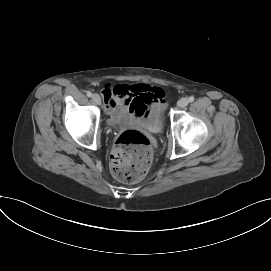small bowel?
I'll return each instance as SVG.
<instances>
[{
    "instance_id": "c3829d8e",
    "label": "small bowel",
    "mask_w": 271,
    "mask_h": 271,
    "mask_svg": "<svg viewBox=\"0 0 271 271\" xmlns=\"http://www.w3.org/2000/svg\"><path fill=\"white\" fill-rule=\"evenodd\" d=\"M101 95L112 124L119 122L122 116L145 119L157 114L163 108L165 97L161 88L144 83L106 85Z\"/></svg>"
}]
</instances>
